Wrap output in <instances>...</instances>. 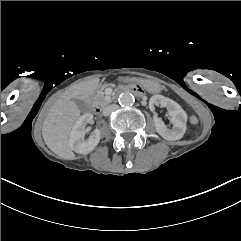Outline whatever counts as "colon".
<instances>
[{"label": "colon", "mask_w": 241, "mask_h": 241, "mask_svg": "<svg viewBox=\"0 0 241 241\" xmlns=\"http://www.w3.org/2000/svg\"><path fill=\"white\" fill-rule=\"evenodd\" d=\"M198 122H199V118L196 115H191L190 123L193 125H196V124H198Z\"/></svg>", "instance_id": "colon-1"}]
</instances>
